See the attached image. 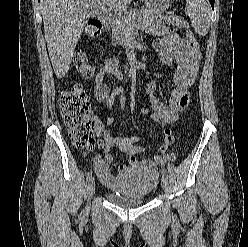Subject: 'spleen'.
Returning a JSON list of instances; mask_svg holds the SVG:
<instances>
[{
  "instance_id": "1",
  "label": "spleen",
  "mask_w": 248,
  "mask_h": 247,
  "mask_svg": "<svg viewBox=\"0 0 248 247\" xmlns=\"http://www.w3.org/2000/svg\"><path fill=\"white\" fill-rule=\"evenodd\" d=\"M185 13L191 17L195 32L205 36L210 27V7L205 0H186Z\"/></svg>"
}]
</instances>
